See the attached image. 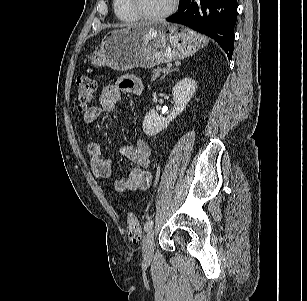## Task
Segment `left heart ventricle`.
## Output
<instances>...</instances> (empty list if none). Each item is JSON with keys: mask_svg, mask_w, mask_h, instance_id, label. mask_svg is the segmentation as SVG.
Wrapping results in <instances>:
<instances>
[{"mask_svg": "<svg viewBox=\"0 0 307 301\" xmlns=\"http://www.w3.org/2000/svg\"><path fill=\"white\" fill-rule=\"evenodd\" d=\"M140 9L147 14H158L166 11L172 0H137Z\"/></svg>", "mask_w": 307, "mask_h": 301, "instance_id": "left-heart-ventricle-1", "label": "left heart ventricle"}]
</instances>
